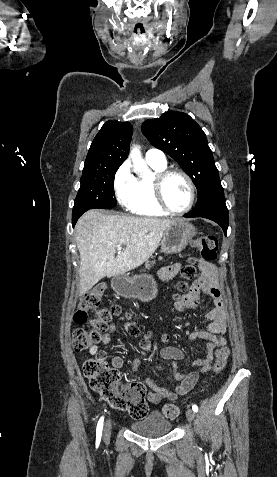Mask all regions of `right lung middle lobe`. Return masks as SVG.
Segmentation results:
<instances>
[{
    "label": "right lung middle lobe",
    "instance_id": "obj_1",
    "mask_svg": "<svg viewBox=\"0 0 277 477\" xmlns=\"http://www.w3.org/2000/svg\"><path fill=\"white\" fill-rule=\"evenodd\" d=\"M119 167L83 172L81 186L72 211V224L92 208H113L117 205L114 176Z\"/></svg>",
    "mask_w": 277,
    "mask_h": 477
}]
</instances>
